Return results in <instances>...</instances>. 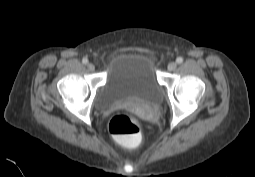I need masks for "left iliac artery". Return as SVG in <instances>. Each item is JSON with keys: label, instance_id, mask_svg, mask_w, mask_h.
Returning <instances> with one entry per match:
<instances>
[{"label": "left iliac artery", "instance_id": "obj_1", "mask_svg": "<svg viewBox=\"0 0 255 177\" xmlns=\"http://www.w3.org/2000/svg\"><path fill=\"white\" fill-rule=\"evenodd\" d=\"M183 62V58L182 57H178L177 59H176V63L177 64H181Z\"/></svg>", "mask_w": 255, "mask_h": 177}]
</instances>
